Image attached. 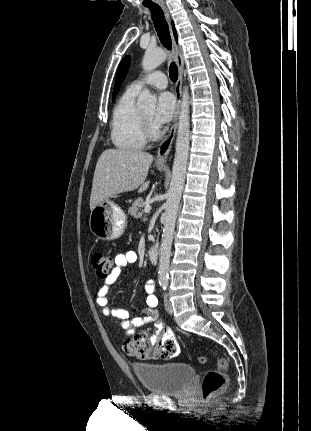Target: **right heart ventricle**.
<instances>
[{"instance_id":"right-heart-ventricle-1","label":"right heart ventricle","mask_w":311,"mask_h":431,"mask_svg":"<svg viewBox=\"0 0 311 431\" xmlns=\"http://www.w3.org/2000/svg\"><path fill=\"white\" fill-rule=\"evenodd\" d=\"M137 92L127 90L114 106L110 138L113 145L123 151L142 149L146 141L143 137L142 113L135 105Z\"/></svg>"}]
</instances>
